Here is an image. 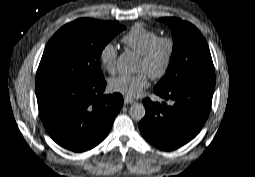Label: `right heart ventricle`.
Wrapping results in <instances>:
<instances>
[{
    "label": "right heart ventricle",
    "instance_id": "e07e8e85",
    "mask_svg": "<svg viewBox=\"0 0 255 177\" xmlns=\"http://www.w3.org/2000/svg\"><path fill=\"white\" fill-rule=\"evenodd\" d=\"M158 37V32L138 23L122 37V42L136 54L141 55Z\"/></svg>",
    "mask_w": 255,
    "mask_h": 177
}]
</instances>
